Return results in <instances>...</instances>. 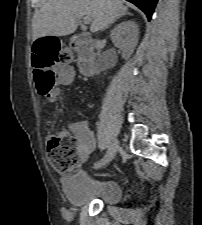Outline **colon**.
Returning <instances> with one entry per match:
<instances>
[{"label": "colon", "mask_w": 202, "mask_h": 225, "mask_svg": "<svg viewBox=\"0 0 202 225\" xmlns=\"http://www.w3.org/2000/svg\"><path fill=\"white\" fill-rule=\"evenodd\" d=\"M58 38H44L36 41L31 52L34 56V77L38 94L48 101H54L58 90L54 87L57 77H64L60 70L54 72L52 67H63L70 62V53L60 48ZM47 157L49 164L60 174H70L80 167L77 142L65 132H60L48 141Z\"/></svg>", "instance_id": "5ec220e1"}]
</instances>
